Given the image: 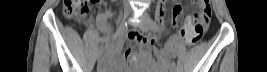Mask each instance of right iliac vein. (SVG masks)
Listing matches in <instances>:
<instances>
[{
  "label": "right iliac vein",
  "instance_id": "obj_1",
  "mask_svg": "<svg viewBox=\"0 0 267 72\" xmlns=\"http://www.w3.org/2000/svg\"><path fill=\"white\" fill-rule=\"evenodd\" d=\"M128 17H129V12L126 11V12L124 13V15H123V19H122V22H121L120 25H119V28L122 27V25L124 24L125 20H126ZM101 54H102V52H99V53H98V55H97V59H98V60L100 59Z\"/></svg>",
  "mask_w": 267,
  "mask_h": 72
}]
</instances>
